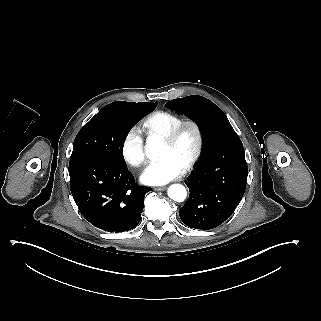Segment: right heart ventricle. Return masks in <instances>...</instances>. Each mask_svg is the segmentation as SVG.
Listing matches in <instances>:
<instances>
[{"instance_id": "right-heart-ventricle-1", "label": "right heart ventricle", "mask_w": 321, "mask_h": 321, "mask_svg": "<svg viewBox=\"0 0 321 321\" xmlns=\"http://www.w3.org/2000/svg\"><path fill=\"white\" fill-rule=\"evenodd\" d=\"M185 119L177 114L168 111H155L145 120V127L149 134L162 137L171 132Z\"/></svg>"}]
</instances>
